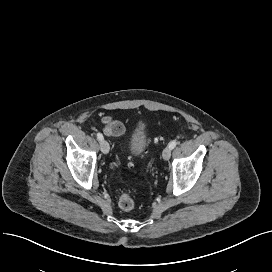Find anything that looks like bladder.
I'll use <instances>...</instances> for the list:
<instances>
[{"instance_id":"bladder-1","label":"bladder","mask_w":272,"mask_h":272,"mask_svg":"<svg viewBox=\"0 0 272 272\" xmlns=\"http://www.w3.org/2000/svg\"><path fill=\"white\" fill-rule=\"evenodd\" d=\"M130 144L137 154L147 149L146 130L141 121L136 122L129 134Z\"/></svg>"}]
</instances>
